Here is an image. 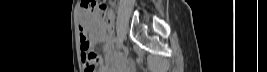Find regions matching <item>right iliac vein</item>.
Segmentation results:
<instances>
[{
	"mask_svg": "<svg viewBox=\"0 0 267 72\" xmlns=\"http://www.w3.org/2000/svg\"><path fill=\"white\" fill-rule=\"evenodd\" d=\"M121 47H122V42H119V43L117 44V48L120 49Z\"/></svg>",
	"mask_w": 267,
	"mask_h": 72,
	"instance_id": "63e3f726",
	"label": "right iliac vein"
}]
</instances>
